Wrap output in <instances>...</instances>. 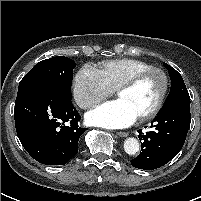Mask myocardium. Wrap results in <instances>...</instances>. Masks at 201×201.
<instances>
[{
    "mask_svg": "<svg viewBox=\"0 0 201 201\" xmlns=\"http://www.w3.org/2000/svg\"><path fill=\"white\" fill-rule=\"evenodd\" d=\"M153 73L159 74L162 78L161 91H160L159 97H158L155 105L149 111H147L146 113H144L140 117H138V119L140 121H146L148 119L155 117L160 112V110L162 109L163 104L165 102L166 95L168 93V89H169V77H168L167 73L161 68L150 67L148 69L141 70V71L133 74L132 76H130L129 78L124 80L116 88V94L118 95L123 90H127V89L132 88L138 82H140L142 79H144L146 76L153 74Z\"/></svg>",
    "mask_w": 201,
    "mask_h": 201,
    "instance_id": "f54148a6",
    "label": "myocardium"
}]
</instances>
